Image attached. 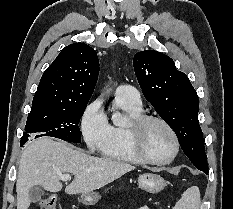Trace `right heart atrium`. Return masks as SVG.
<instances>
[{"mask_svg":"<svg viewBox=\"0 0 233 209\" xmlns=\"http://www.w3.org/2000/svg\"><path fill=\"white\" fill-rule=\"evenodd\" d=\"M80 125L87 147L92 151L101 150L110 138L111 125L102 110L100 99L85 108Z\"/></svg>","mask_w":233,"mask_h":209,"instance_id":"1","label":"right heart atrium"}]
</instances>
